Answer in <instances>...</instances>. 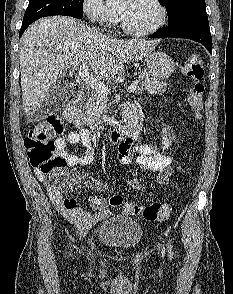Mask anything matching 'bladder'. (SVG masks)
I'll list each match as a JSON object with an SVG mask.
<instances>
[{
  "mask_svg": "<svg viewBox=\"0 0 233 294\" xmlns=\"http://www.w3.org/2000/svg\"><path fill=\"white\" fill-rule=\"evenodd\" d=\"M142 236L143 230L138 221L124 215L109 217L97 229V239L101 244L120 250L136 247Z\"/></svg>",
  "mask_w": 233,
  "mask_h": 294,
  "instance_id": "obj_1",
  "label": "bladder"
}]
</instances>
